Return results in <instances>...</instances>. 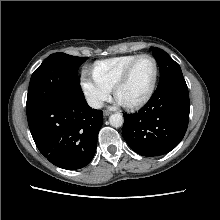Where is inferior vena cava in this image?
<instances>
[{
	"label": "inferior vena cava",
	"instance_id": "602c4592",
	"mask_svg": "<svg viewBox=\"0 0 220 220\" xmlns=\"http://www.w3.org/2000/svg\"><path fill=\"white\" fill-rule=\"evenodd\" d=\"M88 104L95 109H99L103 106V102L96 98H90L88 99Z\"/></svg>",
	"mask_w": 220,
	"mask_h": 220
}]
</instances>
